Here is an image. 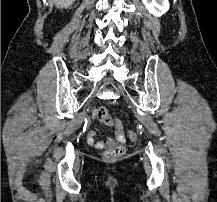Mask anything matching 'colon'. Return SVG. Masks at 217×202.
Here are the masks:
<instances>
[{
    "label": "colon",
    "instance_id": "colon-1",
    "mask_svg": "<svg viewBox=\"0 0 217 202\" xmlns=\"http://www.w3.org/2000/svg\"><path fill=\"white\" fill-rule=\"evenodd\" d=\"M97 115L103 126H111V124L115 121L114 118H108L106 107H99L97 110ZM135 134V131H127V136H129V140H136ZM123 153L124 146L122 144H116L107 149L104 153V156L107 159H114L122 156Z\"/></svg>",
    "mask_w": 217,
    "mask_h": 202
}]
</instances>
